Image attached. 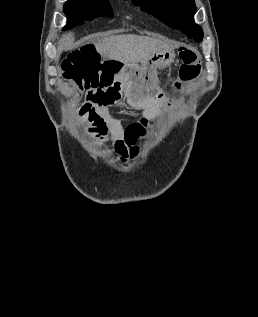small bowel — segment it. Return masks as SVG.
I'll return each instance as SVG.
<instances>
[{"instance_id":"small-bowel-1","label":"small bowel","mask_w":258,"mask_h":317,"mask_svg":"<svg viewBox=\"0 0 258 317\" xmlns=\"http://www.w3.org/2000/svg\"><path fill=\"white\" fill-rule=\"evenodd\" d=\"M78 114L87 122L88 133L99 144H103L108 138L112 140L115 151L122 161L138 156L140 149L137 141L148 134L145 121L123 127L117 119L104 115L89 102L79 106Z\"/></svg>"}]
</instances>
